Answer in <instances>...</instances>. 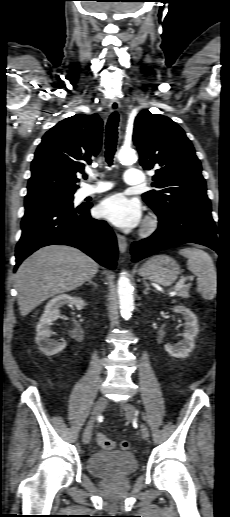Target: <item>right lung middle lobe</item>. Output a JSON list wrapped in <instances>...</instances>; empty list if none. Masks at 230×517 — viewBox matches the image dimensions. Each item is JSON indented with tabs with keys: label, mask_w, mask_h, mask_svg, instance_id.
Returning a JSON list of instances; mask_svg holds the SVG:
<instances>
[{
	"label": "right lung middle lobe",
	"mask_w": 230,
	"mask_h": 517,
	"mask_svg": "<svg viewBox=\"0 0 230 517\" xmlns=\"http://www.w3.org/2000/svg\"><path fill=\"white\" fill-rule=\"evenodd\" d=\"M36 205H59V206L73 207V194L58 195V196L48 197V198H44L41 200L25 203V207L26 206H36Z\"/></svg>",
	"instance_id": "1"
}]
</instances>
